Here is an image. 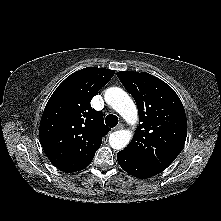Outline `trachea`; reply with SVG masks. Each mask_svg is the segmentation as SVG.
Masks as SVG:
<instances>
[{
  "label": "trachea",
  "mask_w": 221,
  "mask_h": 221,
  "mask_svg": "<svg viewBox=\"0 0 221 221\" xmlns=\"http://www.w3.org/2000/svg\"><path fill=\"white\" fill-rule=\"evenodd\" d=\"M105 123L107 126L113 128L118 124V117L113 114H109L105 118Z\"/></svg>",
  "instance_id": "1"
}]
</instances>
